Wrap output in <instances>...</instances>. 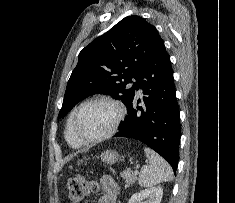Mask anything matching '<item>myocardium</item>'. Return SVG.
Returning a JSON list of instances; mask_svg holds the SVG:
<instances>
[{
    "mask_svg": "<svg viewBox=\"0 0 235 203\" xmlns=\"http://www.w3.org/2000/svg\"><path fill=\"white\" fill-rule=\"evenodd\" d=\"M95 102H107V103L114 105L117 110V116H116V119H115L112 127L110 128V130L108 132H106L105 134H103L99 137L90 139V138H86L80 134V132L77 128V120H78L79 114L82 111V109L85 106H87L91 103H95ZM125 116H126V108L120 100L115 99L113 97H109V96H96V97H93L91 99L84 101L76 108V110L74 111L73 117H72V131H73L74 135L77 137V139L80 142H82L83 144H96V143L102 142V141L112 137L118 131Z\"/></svg>",
    "mask_w": 235,
    "mask_h": 203,
    "instance_id": "myocardium-1",
    "label": "myocardium"
}]
</instances>
